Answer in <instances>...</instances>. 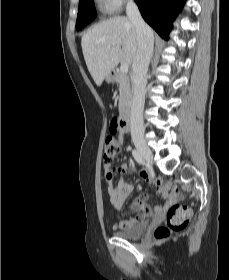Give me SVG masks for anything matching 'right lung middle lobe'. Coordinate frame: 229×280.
<instances>
[{
  "label": "right lung middle lobe",
  "mask_w": 229,
  "mask_h": 280,
  "mask_svg": "<svg viewBox=\"0 0 229 280\" xmlns=\"http://www.w3.org/2000/svg\"><path fill=\"white\" fill-rule=\"evenodd\" d=\"M96 17V10L93 0H80L76 21V29L80 30Z\"/></svg>",
  "instance_id": "dd1d6c3e"
}]
</instances>
